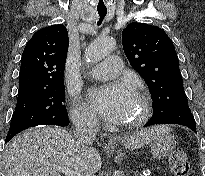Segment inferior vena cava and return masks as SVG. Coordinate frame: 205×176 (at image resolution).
I'll return each instance as SVG.
<instances>
[{
  "mask_svg": "<svg viewBox=\"0 0 205 176\" xmlns=\"http://www.w3.org/2000/svg\"><path fill=\"white\" fill-rule=\"evenodd\" d=\"M76 131L74 136L83 145L91 144L96 139L98 131L97 120L90 116H80L74 121Z\"/></svg>",
  "mask_w": 205,
  "mask_h": 176,
  "instance_id": "obj_1",
  "label": "inferior vena cava"
}]
</instances>
